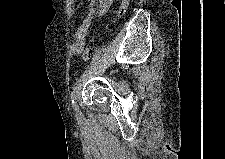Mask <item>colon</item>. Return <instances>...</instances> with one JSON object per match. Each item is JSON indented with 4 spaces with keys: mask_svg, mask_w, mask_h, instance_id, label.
<instances>
[{
    "mask_svg": "<svg viewBox=\"0 0 225 159\" xmlns=\"http://www.w3.org/2000/svg\"><path fill=\"white\" fill-rule=\"evenodd\" d=\"M129 4H130V0H122L121 1V4L117 11V15L115 17V21L120 20L123 17V15L125 14V12L127 11L128 7H129ZM91 53H92V47L88 46L83 53V60L85 62H88L90 60Z\"/></svg>",
    "mask_w": 225,
    "mask_h": 159,
    "instance_id": "obj_1",
    "label": "colon"
}]
</instances>
